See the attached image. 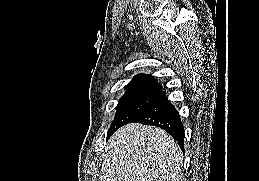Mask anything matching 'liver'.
<instances>
[{
    "mask_svg": "<svg viewBox=\"0 0 259 181\" xmlns=\"http://www.w3.org/2000/svg\"><path fill=\"white\" fill-rule=\"evenodd\" d=\"M182 152L164 130L131 123L107 147L99 181H180Z\"/></svg>",
    "mask_w": 259,
    "mask_h": 181,
    "instance_id": "1",
    "label": "liver"
}]
</instances>
